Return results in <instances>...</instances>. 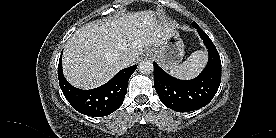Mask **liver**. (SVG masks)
<instances>
[{
	"label": "liver",
	"mask_w": 276,
	"mask_h": 138,
	"mask_svg": "<svg viewBox=\"0 0 276 138\" xmlns=\"http://www.w3.org/2000/svg\"><path fill=\"white\" fill-rule=\"evenodd\" d=\"M175 33L174 25L158 19L151 10L87 23L65 45L63 73L77 88H96L125 67L119 61L120 54L131 55L134 63L143 48L159 47Z\"/></svg>",
	"instance_id": "obj_1"
}]
</instances>
